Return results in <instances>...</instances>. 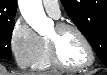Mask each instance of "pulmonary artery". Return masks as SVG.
I'll list each match as a JSON object with an SVG mask.
<instances>
[{
	"label": "pulmonary artery",
	"mask_w": 107,
	"mask_h": 75,
	"mask_svg": "<svg viewBox=\"0 0 107 75\" xmlns=\"http://www.w3.org/2000/svg\"><path fill=\"white\" fill-rule=\"evenodd\" d=\"M46 12L55 19L60 17L59 2L57 0H43Z\"/></svg>",
	"instance_id": "pulmonary-artery-1"
}]
</instances>
